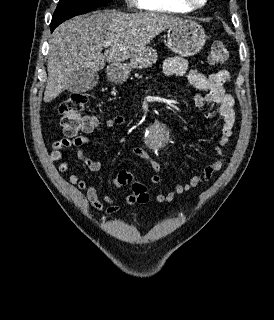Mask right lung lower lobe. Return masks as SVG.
<instances>
[{"label":"right lung lower lobe","mask_w":274,"mask_h":320,"mask_svg":"<svg viewBox=\"0 0 274 320\" xmlns=\"http://www.w3.org/2000/svg\"><path fill=\"white\" fill-rule=\"evenodd\" d=\"M56 27H57V26H56ZM56 27H54V26H50V28H51V32H53V30H54Z\"/></svg>","instance_id":"1"}]
</instances>
